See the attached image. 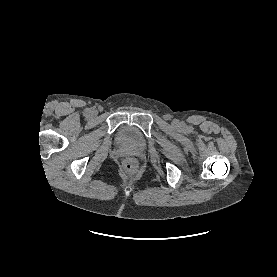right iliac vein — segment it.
I'll list each match as a JSON object with an SVG mask.
<instances>
[{"label": "right iliac vein", "mask_w": 277, "mask_h": 277, "mask_svg": "<svg viewBox=\"0 0 277 277\" xmlns=\"http://www.w3.org/2000/svg\"><path fill=\"white\" fill-rule=\"evenodd\" d=\"M96 115V112L95 111H91L90 112V116H95Z\"/></svg>", "instance_id": "right-iliac-vein-1"}]
</instances>
